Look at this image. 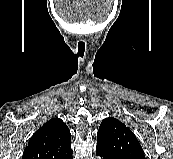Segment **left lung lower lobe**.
Here are the masks:
<instances>
[{
    "label": "left lung lower lobe",
    "mask_w": 173,
    "mask_h": 159,
    "mask_svg": "<svg viewBox=\"0 0 173 159\" xmlns=\"http://www.w3.org/2000/svg\"><path fill=\"white\" fill-rule=\"evenodd\" d=\"M96 155L102 157L103 159H113L112 157L106 155L105 153H103L98 149H96Z\"/></svg>",
    "instance_id": "0a47b994"
}]
</instances>
